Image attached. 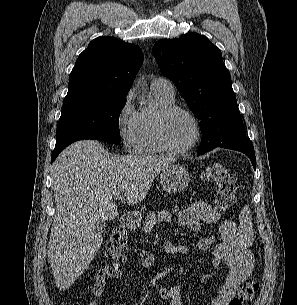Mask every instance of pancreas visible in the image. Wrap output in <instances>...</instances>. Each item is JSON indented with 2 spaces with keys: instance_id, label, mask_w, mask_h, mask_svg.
Segmentation results:
<instances>
[{
  "instance_id": "1",
  "label": "pancreas",
  "mask_w": 297,
  "mask_h": 305,
  "mask_svg": "<svg viewBox=\"0 0 297 305\" xmlns=\"http://www.w3.org/2000/svg\"><path fill=\"white\" fill-rule=\"evenodd\" d=\"M169 219H171V214L166 210L158 211L156 214L150 213L147 215L146 220L143 223V230L145 233H149L157 221L162 222Z\"/></svg>"
}]
</instances>
